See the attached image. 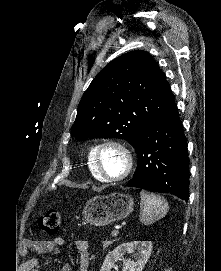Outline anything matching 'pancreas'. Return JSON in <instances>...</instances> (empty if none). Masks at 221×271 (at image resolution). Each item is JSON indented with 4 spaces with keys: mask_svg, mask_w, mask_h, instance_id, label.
<instances>
[{
    "mask_svg": "<svg viewBox=\"0 0 221 271\" xmlns=\"http://www.w3.org/2000/svg\"><path fill=\"white\" fill-rule=\"evenodd\" d=\"M116 244V239H105L99 242V247H113Z\"/></svg>",
    "mask_w": 221,
    "mask_h": 271,
    "instance_id": "pancreas-1",
    "label": "pancreas"
}]
</instances>
